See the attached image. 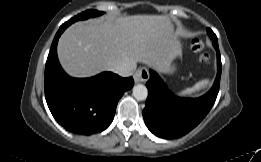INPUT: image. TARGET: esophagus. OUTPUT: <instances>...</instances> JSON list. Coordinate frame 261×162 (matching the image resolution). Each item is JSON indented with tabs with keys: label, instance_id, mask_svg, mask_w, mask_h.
<instances>
[{
	"label": "esophagus",
	"instance_id": "34e87169",
	"mask_svg": "<svg viewBox=\"0 0 261 162\" xmlns=\"http://www.w3.org/2000/svg\"><path fill=\"white\" fill-rule=\"evenodd\" d=\"M149 79V73L145 68L138 69L134 74V81L136 83H143Z\"/></svg>",
	"mask_w": 261,
	"mask_h": 162
}]
</instances>
